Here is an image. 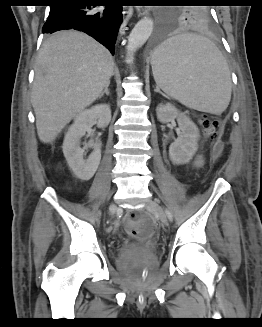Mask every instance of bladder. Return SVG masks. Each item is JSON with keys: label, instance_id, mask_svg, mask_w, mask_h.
<instances>
[{"label": "bladder", "instance_id": "1", "mask_svg": "<svg viewBox=\"0 0 262 327\" xmlns=\"http://www.w3.org/2000/svg\"><path fill=\"white\" fill-rule=\"evenodd\" d=\"M139 254V250L135 247H130L119 257L118 265L121 268L124 265L125 260L133 259Z\"/></svg>", "mask_w": 262, "mask_h": 327}]
</instances>
